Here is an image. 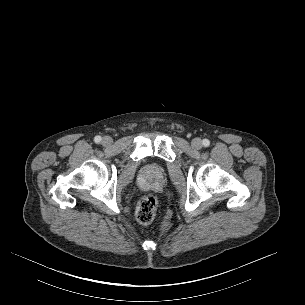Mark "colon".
Listing matches in <instances>:
<instances>
[{
	"label": "colon",
	"mask_w": 305,
	"mask_h": 305,
	"mask_svg": "<svg viewBox=\"0 0 305 305\" xmlns=\"http://www.w3.org/2000/svg\"><path fill=\"white\" fill-rule=\"evenodd\" d=\"M158 200L156 196L148 194L143 196L137 204L135 216L139 223L149 224L156 215Z\"/></svg>",
	"instance_id": "colon-1"
}]
</instances>
